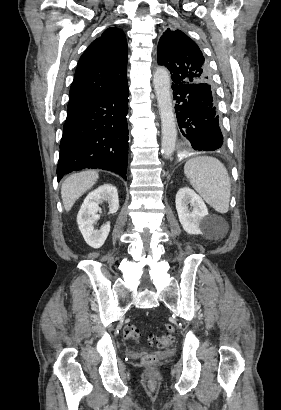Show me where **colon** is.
I'll return each mask as SVG.
<instances>
[{
	"mask_svg": "<svg viewBox=\"0 0 281 410\" xmlns=\"http://www.w3.org/2000/svg\"><path fill=\"white\" fill-rule=\"evenodd\" d=\"M175 327L172 324L165 325V334L153 339L152 343L157 349L168 347L173 343V334ZM124 338L128 341L138 342L140 339V330L134 324H128L123 329ZM143 361L146 364L152 365L156 362V356L154 354H146L143 357Z\"/></svg>",
	"mask_w": 281,
	"mask_h": 410,
	"instance_id": "5ec220e1",
	"label": "colon"
}]
</instances>
